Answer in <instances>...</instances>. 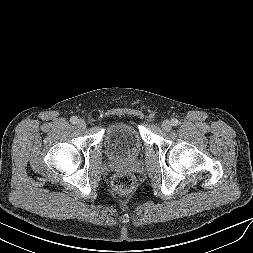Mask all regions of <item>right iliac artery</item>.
Instances as JSON below:
<instances>
[{
    "label": "right iliac artery",
    "instance_id": "1",
    "mask_svg": "<svg viewBox=\"0 0 253 253\" xmlns=\"http://www.w3.org/2000/svg\"><path fill=\"white\" fill-rule=\"evenodd\" d=\"M77 121H78V118H77L76 116H72V117L70 118V122H71L72 124H76Z\"/></svg>",
    "mask_w": 253,
    "mask_h": 253
}]
</instances>
